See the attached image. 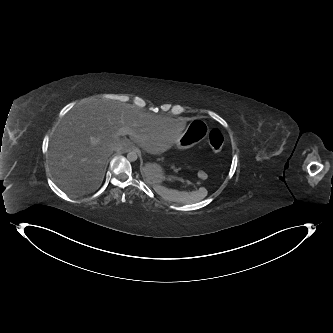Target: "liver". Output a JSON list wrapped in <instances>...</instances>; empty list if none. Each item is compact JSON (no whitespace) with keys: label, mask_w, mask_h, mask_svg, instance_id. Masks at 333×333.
I'll use <instances>...</instances> for the list:
<instances>
[{"label":"liver","mask_w":333,"mask_h":333,"mask_svg":"<svg viewBox=\"0 0 333 333\" xmlns=\"http://www.w3.org/2000/svg\"><path fill=\"white\" fill-rule=\"evenodd\" d=\"M121 127L131 130V140L116 136ZM183 128L181 120L144 111L134 104L93 99L77 105L61 120L51 138L47 162L62 189L87 194L100 186L115 146L124 151L134 142L150 154H162Z\"/></svg>","instance_id":"liver-1"}]
</instances>
